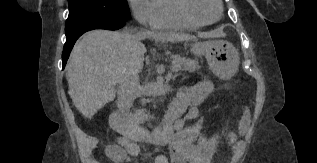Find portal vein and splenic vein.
I'll return each mask as SVG.
<instances>
[{"label": "portal vein and splenic vein", "mask_w": 317, "mask_h": 163, "mask_svg": "<svg viewBox=\"0 0 317 163\" xmlns=\"http://www.w3.org/2000/svg\"><path fill=\"white\" fill-rule=\"evenodd\" d=\"M175 71H178L179 69H180V66H178V65H173V67H172Z\"/></svg>", "instance_id": "1"}]
</instances>
